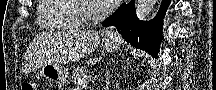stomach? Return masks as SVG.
Segmentation results:
<instances>
[{
  "instance_id": "1",
  "label": "stomach",
  "mask_w": 216,
  "mask_h": 90,
  "mask_svg": "<svg viewBox=\"0 0 216 90\" xmlns=\"http://www.w3.org/2000/svg\"><path fill=\"white\" fill-rule=\"evenodd\" d=\"M120 41L117 39L105 38L102 41V46L109 52H115L120 47ZM41 77L48 82L63 86L68 79V71L64 67L57 64H46L39 71Z\"/></svg>"
}]
</instances>
